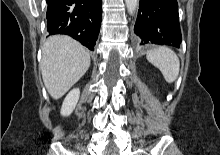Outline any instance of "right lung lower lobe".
Segmentation results:
<instances>
[{
    "instance_id": "98d812e1",
    "label": "right lung lower lobe",
    "mask_w": 220,
    "mask_h": 155,
    "mask_svg": "<svg viewBox=\"0 0 220 155\" xmlns=\"http://www.w3.org/2000/svg\"><path fill=\"white\" fill-rule=\"evenodd\" d=\"M47 31L66 34L94 50L102 19V0H46Z\"/></svg>"
}]
</instances>
